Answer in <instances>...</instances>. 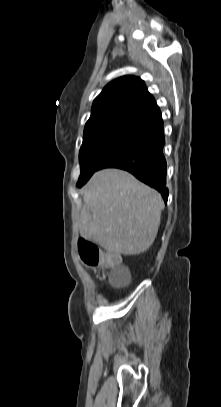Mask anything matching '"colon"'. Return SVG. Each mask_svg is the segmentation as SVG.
I'll list each match as a JSON object with an SVG mask.
<instances>
[{
    "instance_id": "5ec220e1",
    "label": "colon",
    "mask_w": 221,
    "mask_h": 407,
    "mask_svg": "<svg viewBox=\"0 0 221 407\" xmlns=\"http://www.w3.org/2000/svg\"><path fill=\"white\" fill-rule=\"evenodd\" d=\"M79 253L82 261L91 267L103 266L111 268V266H116V261H123L120 259L119 252H106L105 257H103L99 248L86 240L79 242Z\"/></svg>"
}]
</instances>
